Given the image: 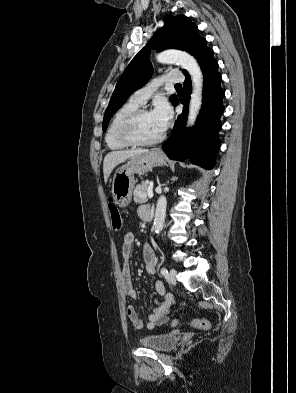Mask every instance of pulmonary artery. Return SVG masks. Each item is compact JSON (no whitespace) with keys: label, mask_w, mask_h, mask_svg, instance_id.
<instances>
[{"label":"pulmonary artery","mask_w":296,"mask_h":393,"mask_svg":"<svg viewBox=\"0 0 296 393\" xmlns=\"http://www.w3.org/2000/svg\"><path fill=\"white\" fill-rule=\"evenodd\" d=\"M183 81L184 77L177 70L170 71L166 75L155 79L153 82L135 91L131 95L130 101L138 105H143L162 83H181Z\"/></svg>","instance_id":"1"}]
</instances>
